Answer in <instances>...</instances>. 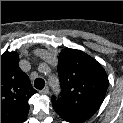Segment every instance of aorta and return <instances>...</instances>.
<instances>
[{"label": "aorta", "mask_w": 123, "mask_h": 123, "mask_svg": "<svg viewBox=\"0 0 123 123\" xmlns=\"http://www.w3.org/2000/svg\"><path fill=\"white\" fill-rule=\"evenodd\" d=\"M49 85L54 90V92L58 93L60 91V84L57 77L53 76L49 78Z\"/></svg>", "instance_id": "1"}]
</instances>
